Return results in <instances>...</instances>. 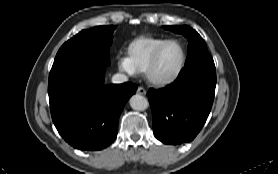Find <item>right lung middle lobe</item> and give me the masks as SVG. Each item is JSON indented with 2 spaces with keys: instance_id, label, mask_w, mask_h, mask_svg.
<instances>
[{
  "instance_id": "obj_1",
  "label": "right lung middle lobe",
  "mask_w": 278,
  "mask_h": 174,
  "mask_svg": "<svg viewBox=\"0 0 278 174\" xmlns=\"http://www.w3.org/2000/svg\"><path fill=\"white\" fill-rule=\"evenodd\" d=\"M114 26H98L82 30L59 49L52 68L71 61H89L109 65L108 51Z\"/></svg>"
}]
</instances>
